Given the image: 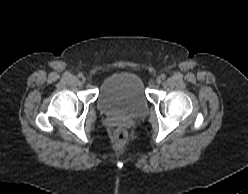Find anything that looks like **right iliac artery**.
Listing matches in <instances>:
<instances>
[{
    "mask_svg": "<svg viewBox=\"0 0 248 194\" xmlns=\"http://www.w3.org/2000/svg\"><path fill=\"white\" fill-rule=\"evenodd\" d=\"M78 77L79 78L83 77V74L82 73H78Z\"/></svg>",
    "mask_w": 248,
    "mask_h": 194,
    "instance_id": "82829eb1",
    "label": "right iliac artery"
}]
</instances>
